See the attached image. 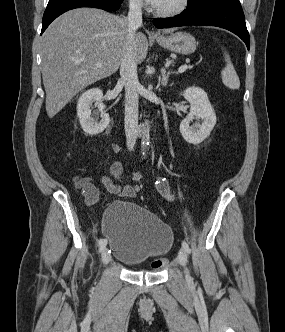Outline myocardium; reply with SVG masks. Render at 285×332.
Instances as JSON below:
<instances>
[{
	"label": "myocardium",
	"mask_w": 285,
	"mask_h": 332,
	"mask_svg": "<svg viewBox=\"0 0 285 332\" xmlns=\"http://www.w3.org/2000/svg\"><path fill=\"white\" fill-rule=\"evenodd\" d=\"M190 0H180L178 4L171 9H156V14L160 17H175L183 13L189 6Z\"/></svg>",
	"instance_id": "1"
}]
</instances>
